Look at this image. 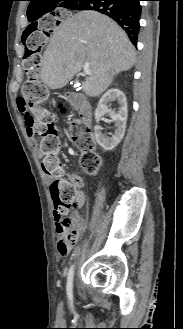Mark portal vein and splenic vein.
<instances>
[{
    "instance_id": "1",
    "label": "portal vein and splenic vein",
    "mask_w": 183,
    "mask_h": 329,
    "mask_svg": "<svg viewBox=\"0 0 183 329\" xmlns=\"http://www.w3.org/2000/svg\"><path fill=\"white\" fill-rule=\"evenodd\" d=\"M83 74H84V75H90V74H91V72H90V70H89V65H85V66H84Z\"/></svg>"
}]
</instances>
